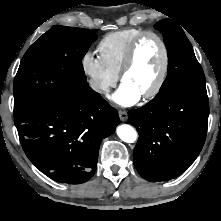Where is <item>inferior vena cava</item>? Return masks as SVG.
Wrapping results in <instances>:
<instances>
[{
  "mask_svg": "<svg viewBox=\"0 0 221 221\" xmlns=\"http://www.w3.org/2000/svg\"><path fill=\"white\" fill-rule=\"evenodd\" d=\"M90 86L93 90H95L97 92H100V91L108 92L109 91V87L107 85L100 83L98 81H91Z\"/></svg>",
  "mask_w": 221,
  "mask_h": 221,
  "instance_id": "obj_1",
  "label": "inferior vena cava"
}]
</instances>
